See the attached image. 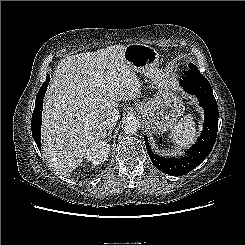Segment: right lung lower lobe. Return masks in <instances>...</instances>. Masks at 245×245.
<instances>
[{"instance_id": "obj_1", "label": "right lung lower lobe", "mask_w": 245, "mask_h": 245, "mask_svg": "<svg viewBox=\"0 0 245 245\" xmlns=\"http://www.w3.org/2000/svg\"><path fill=\"white\" fill-rule=\"evenodd\" d=\"M42 95L39 97V100H36L35 109L32 114V124L31 130L33 138L38 146L41 147V138H40V130H41V118H42V108H43V98L45 93H41Z\"/></svg>"}]
</instances>
